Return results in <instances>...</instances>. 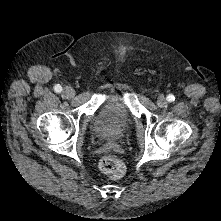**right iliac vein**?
Here are the masks:
<instances>
[{"label": "right iliac vein", "mask_w": 221, "mask_h": 221, "mask_svg": "<svg viewBox=\"0 0 221 221\" xmlns=\"http://www.w3.org/2000/svg\"><path fill=\"white\" fill-rule=\"evenodd\" d=\"M63 94L67 98H72L75 95V91L71 86H66L63 90Z\"/></svg>", "instance_id": "63e3f726"}]
</instances>
